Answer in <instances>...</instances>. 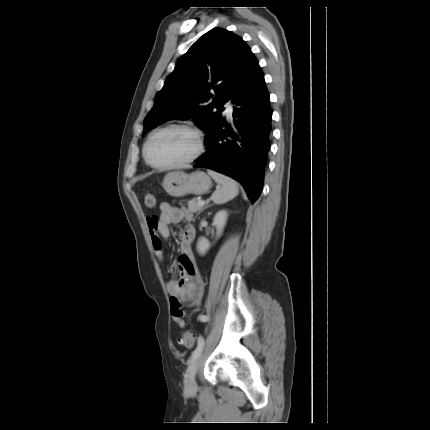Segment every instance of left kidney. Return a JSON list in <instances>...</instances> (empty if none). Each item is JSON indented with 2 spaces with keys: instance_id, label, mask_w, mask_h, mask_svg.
<instances>
[{
  "instance_id": "obj_1",
  "label": "left kidney",
  "mask_w": 430,
  "mask_h": 430,
  "mask_svg": "<svg viewBox=\"0 0 430 430\" xmlns=\"http://www.w3.org/2000/svg\"><path fill=\"white\" fill-rule=\"evenodd\" d=\"M227 213L225 211H220L216 214L214 218V225L216 226V235L219 237L223 231L226 224ZM209 242L206 238L201 237L198 241V251L204 254L209 249Z\"/></svg>"
}]
</instances>
